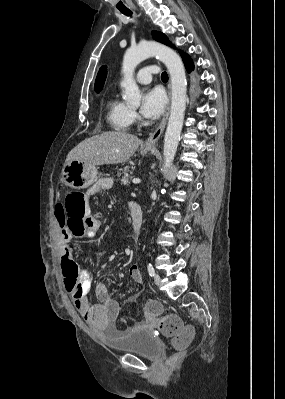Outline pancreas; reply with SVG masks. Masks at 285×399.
Wrapping results in <instances>:
<instances>
[{
	"instance_id": "cf45deb5",
	"label": "pancreas",
	"mask_w": 285,
	"mask_h": 399,
	"mask_svg": "<svg viewBox=\"0 0 285 399\" xmlns=\"http://www.w3.org/2000/svg\"><path fill=\"white\" fill-rule=\"evenodd\" d=\"M121 184L123 185H129L130 184V177L127 173L121 178L120 180Z\"/></svg>"
}]
</instances>
